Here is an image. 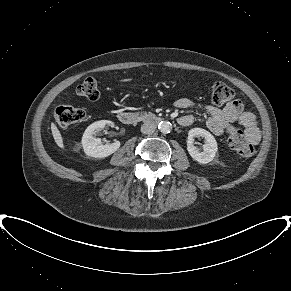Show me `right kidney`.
<instances>
[{"instance_id":"right-kidney-1","label":"right kidney","mask_w":291,"mask_h":291,"mask_svg":"<svg viewBox=\"0 0 291 291\" xmlns=\"http://www.w3.org/2000/svg\"><path fill=\"white\" fill-rule=\"evenodd\" d=\"M110 123L111 122L108 120H100L87 127L82 137V146L87 156L94 158H105L119 149V141H115L111 144H102L101 139L96 138L97 130L103 129Z\"/></svg>"}]
</instances>
